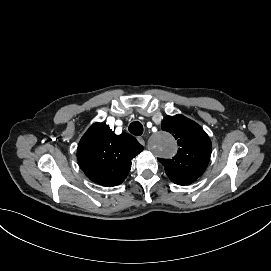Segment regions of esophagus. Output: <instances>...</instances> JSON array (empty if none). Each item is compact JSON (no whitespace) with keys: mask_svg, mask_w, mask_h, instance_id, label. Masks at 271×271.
I'll return each mask as SVG.
<instances>
[{"mask_svg":"<svg viewBox=\"0 0 271 271\" xmlns=\"http://www.w3.org/2000/svg\"><path fill=\"white\" fill-rule=\"evenodd\" d=\"M137 140L141 145H143V146L145 145V141H146L145 137H137Z\"/></svg>","mask_w":271,"mask_h":271,"instance_id":"34e87169","label":"esophagus"}]
</instances>
